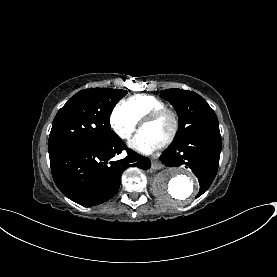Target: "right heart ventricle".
Segmentation results:
<instances>
[{"label": "right heart ventricle", "instance_id": "obj_1", "mask_svg": "<svg viewBox=\"0 0 277 277\" xmlns=\"http://www.w3.org/2000/svg\"><path fill=\"white\" fill-rule=\"evenodd\" d=\"M122 107L139 122L148 111L166 107V104L155 96L136 94L126 99Z\"/></svg>", "mask_w": 277, "mask_h": 277}]
</instances>
